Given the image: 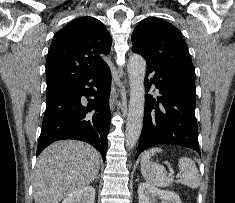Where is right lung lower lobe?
I'll use <instances>...</instances> for the list:
<instances>
[{
	"mask_svg": "<svg viewBox=\"0 0 235 203\" xmlns=\"http://www.w3.org/2000/svg\"><path fill=\"white\" fill-rule=\"evenodd\" d=\"M86 85H93L96 90ZM110 86L111 73L106 64L48 95L36 156L55 141L75 139L94 146L105 161L111 116ZM82 96L94 99H88L86 106L81 103Z\"/></svg>",
	"mask_w": 235,
	"mask_h": 203,
	"instance_id": "right-lung-lower-lobe-1",
	"label": "right lung lower lobe"
}]
</instances>
